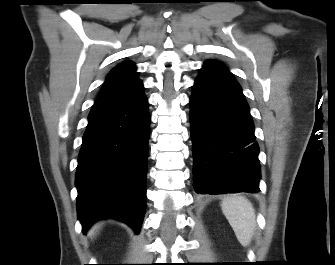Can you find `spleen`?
I'll list each match as a JSON object with an SVG mask.
<instances>
[{
	"label": "spleen",
	"instance_id": "obj_1",
	"mask_svg": "<svg viewBox=\"0 0 335 265\" xmlns=\"http://www.w3.org/2000/svg\"><path fill=\"white\" fill-rule=\"evenodd\" d=\"M221 208L240 244L248 246L256 227L255 211L251 202L243 196L232 194L223 199Z\"/></svg>",
	"mask_w": 335,
	"mask_h": 265
}]
</instances>
